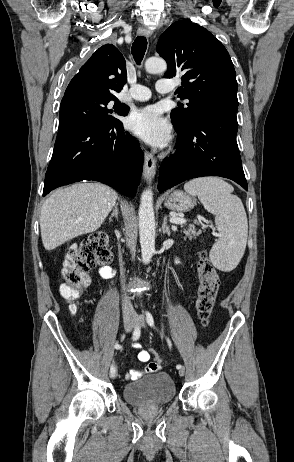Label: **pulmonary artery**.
Here are the masks:
<instances>
[{"label":"pulmonary artery","instance_id":"1","mask_svg":"<svg viewBox=\"0 0 294 462\" xmlns=\"http://www.w3.org/2000/svg\"><path fill=\"white\" fill-rule=\"evenodd\" d=\"M156 91L161 94H168L171 93L173 90V86L171 82L167 79H160L156 83ZM152 95L151 90L143 85L134 84L130 88V90L126 93V97L136 101H146Z\"/></svg>","mask_w":294,"mask_h":462}]
</instances>
